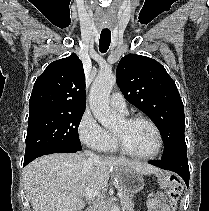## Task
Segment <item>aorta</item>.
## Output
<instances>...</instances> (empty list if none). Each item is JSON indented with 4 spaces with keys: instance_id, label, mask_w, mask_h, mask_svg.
<instances>
[{
    "instance_id": "762f6f07",
    "label": "aorta",
    "mask_w": 209,
    "mask_h": 211,
    "mask_svg": "<svg viewBox=\"0 0 209 211\" xmlns=\"http://www.w3.org/2000/svg\"><path fill=\"white\" fill-rule=\"evenodd\" d=\"M116 84V75L111 72H100L95 78L89 95V105L95 118L106 128H114L120 117L114 113L109 105V96ZM111 211H120L114 205Z\"/></svg>"
}]
</instances>
